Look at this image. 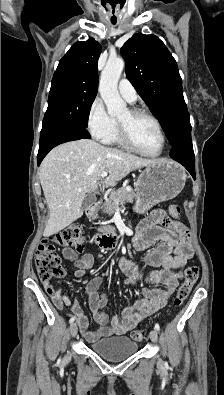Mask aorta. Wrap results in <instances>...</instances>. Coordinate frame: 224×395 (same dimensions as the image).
<instances>
[{"label": "aorta", "instance_id": "obj_1", "mask_svg": "<svg viewBox=\"0 0 224 395\" xmlns=\"http://www.w3.org/2000/svg\"><path fill=\"white\" fill-rule=\"evenodd\" d=\"M124 66V60L121 58L109 59L101 73L99 92L111 117L119 116L127 110L126 103L117 89Z\"/></svg>", "mask_w": 224, "mask_h": 395}]
</instances>
